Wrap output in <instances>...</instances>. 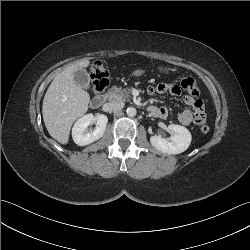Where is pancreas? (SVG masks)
<instances>
[{"instance_id":"obj_1","label":"pancreas","mask_w":250,"mask_h":250,"mask_svg":"<svg viewBox=\"0 0 250 250\" xmlns=\"http://www.w3.org/2000/svg\"><path fill=\"white\" fill-rule=\"evenodd\" d=\"M109 101H129L131 92L130 89L117 88L115 86L111 87L107 93Z\"/></svg>"}]
</instances>
